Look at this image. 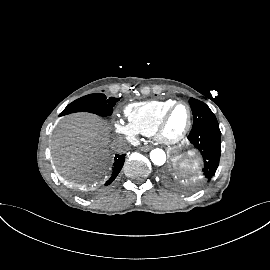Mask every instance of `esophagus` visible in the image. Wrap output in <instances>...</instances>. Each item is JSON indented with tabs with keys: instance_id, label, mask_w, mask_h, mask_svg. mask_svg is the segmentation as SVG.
<instances>
[{
	"instance_id": "1",
	"label": "esophagus",
	"mask_w": 270,
	"mask_h": 270,
	"mask_svg": "<svg viewBox=\"0 0 270 270\" xmlns=\"http://www.w3.org/2000/svg\"><path fill=\"white\" fill-rule=\"evenodd\" d=\"M151 146H149V145H144V146H141L140 147V149L142 150V151H149V150H151Z\"/></svg>"
}]
</instances>
